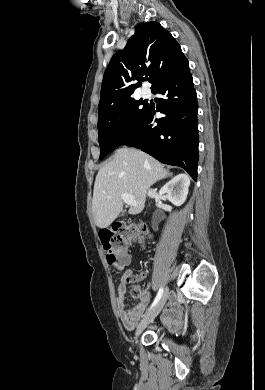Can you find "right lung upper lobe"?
<instances>
[{"label":"right lung upper lobe","mask_w":265,"mask_h":390,"mask_svg":"<svg viewBox=\"0 0 265 390\" xmlns=\"http://www.w3.org/2000/svg\"><path fill=\"white\" fill-rule=\"evenodd\" d=\"M186 61L180 45L158 22L138 24L135 34L124 49L113 55L105 71L98 113L132 98L147 76L153 90Z\"/></svg>","instance_id":"right-lung-upper-lobe-1"}]
</instances>
